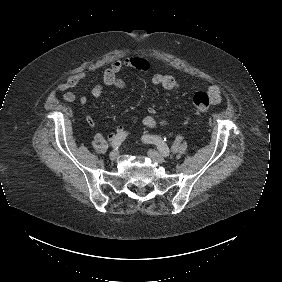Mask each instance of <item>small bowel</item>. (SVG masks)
<instances>
[{
    "mask_svg": "<svg viewBox=\"0 0 282 282\" xmlns=\"http://www.w3.org/2000/svg\"><path fill=\"white\" fill-rule=\"evenodd\" d=\"M132 68L139 71H149L150 63L141 56H129L124 59L115 60L110 67H108L103 75V82L98 83L92 89V95L95 98H99L104 93L105 87L114 86L117 88H123L125 83L119 77V73L123 68ZM86 76L85 72H80L76 74L70 75L63 83L59 84L57 90L63 92V98L67 102H74L76 100V94L70 91L71 88L75 87L81 80H83ZM152 84L155 86L163 87L168 90L178 89L181 86V83L178 79L164 74H155L152 77ZM208 94L211 99V104L217 105L221 102L222 92L221 89L212 85L208 88ZM80 105L82 108H86L87 99L82 97L80 99ZM155 111L153 108L149 109V113L147 116L143 118V125L149 129H154L157 127H171L175 126L176 123L171 119L166 118H158L155 115ZM86 121L89 126H95V121L93 117L89 114L86 115ZM123 132V127L120 126L113 133V135H117Z\"/></svg>",
    "mask_w": 282,
    "mask_h": 282,
    "instance_id": "1",
    "label": "small bowel"
}]
</instances>
